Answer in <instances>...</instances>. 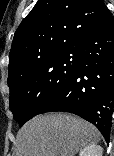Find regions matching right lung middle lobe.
Here are the masks:
<instances>
[{"instance_id": "dd1d6c3e", "label": "right lung middle lobe", "mask_w": 114, "mask_h": 156, "mask_svg": "<svg viewBox=\"0 0 114 156\" xmlns=\"http://www.w3.org/2000/svg\"><path fill=\"white\" fill-rule=\"evenodd\" d=\"M81 60L78 47L45 59L10 84V108L19 125L40 114L66 88Z\"/></svg>"}]
</instances>
